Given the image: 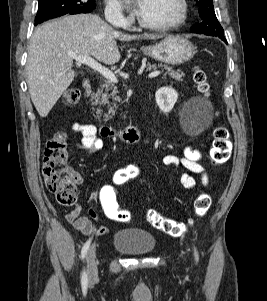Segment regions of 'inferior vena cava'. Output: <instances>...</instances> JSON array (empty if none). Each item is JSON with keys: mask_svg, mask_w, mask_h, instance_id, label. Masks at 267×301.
<instances>
[{"mask_svg": "<svg viewBox=\"0 0 267 301\" xmlns=\"http://www.w3.org/2000/svg\"><path fill=\"white\" fill-rule=\"evenodd\" d=\"M106 19L109 23H111L115 27L122 26V22H121L120 18L117 16H107Z\"/></svg>", "mask_w": 267, "mask_h": 301, "instance_id": "inferior-vena-cava-1", "label": "inferior vena cava"}]
</instances>
